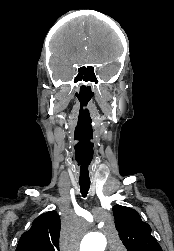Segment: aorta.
Masks as SVG:
<instances>
[{
    "mask_svg": "<svg viewBox=\"0 0 174 251\" xmlns=\"http://www.w3.org/2000/svg\"><path fill=\"white\" fill-rule=\"evenodd\" d=\"M109 243L113 248H116L119 245V241L116 233L112 230L108 234ZM107 245V239L102 233H89L87 234L80 246V251H104ZM115 250H119L118 248Z\"/></svg>",
    "mask_w": 174,
    "mask_h": 251,
    "instance_id": "aorta-1",
    "label": "aorta"
}]
</instances>
